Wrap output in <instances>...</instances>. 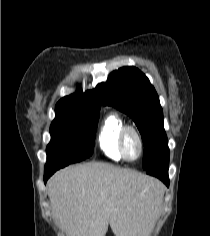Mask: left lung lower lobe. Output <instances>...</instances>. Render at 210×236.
Returning a JSON list of instances; mask_svg holds the SVG:
<instances>
[{"mask_svg": "<svg viewBox=\"0 0 210 236\" xmlns=\"http://www.w3.org/2000/svg\"><path fill=\"white\" fill-rule=\"evenodd\" d=\"M168 166H169V153L161 160L157 161L154 165L146 169V173L155 176L162 180L166 186H169L168 177Z\"/></svg>", "mask_w": 210, "mask_h": 236, "instance_id": "obj_1", "label": "left lung lower lobe"}]
</instances>
